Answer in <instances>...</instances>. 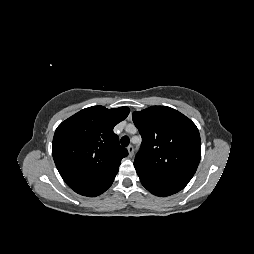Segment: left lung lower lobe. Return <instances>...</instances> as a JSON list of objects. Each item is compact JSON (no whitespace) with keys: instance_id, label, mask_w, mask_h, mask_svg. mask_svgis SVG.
I'll list each match as a JSON object with an SVG mask.
<instances>
[{"instance_id":"1","label":"left lung lower lobe","mask_w":254,"mask_h":254,"mask_svg":"<svg viewBox=\"0 0 254 254\" xmlns=\"http://www.w3.org/2000/svg\"><path fill=\"white\" fill-rule=\"evenodd\" d=\"M142 185L156 196H169L182 190L187 183L147 173L143 169L135 167Z\"/></svg>"}]
</instances>
